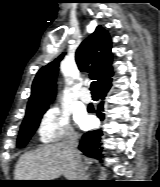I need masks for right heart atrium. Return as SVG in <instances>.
<instances>
[{
  "mask_svg": "<svg viewBox=\"0 0 160 187\" xmlns=\"http://www.w3.org/2000/svg\"><path fill=\"white\" fill-rule=\"evenodd\" d=\"M38 134L43 143H74L77 140L69 113L57 106L44 112L38 125Z\"/></svg>",
  "mask_w": 160,
  "mask_h": 187,
  "instance_id": "d8ad5b80",
  "label": "right heart atrium"
}]
</instances>
